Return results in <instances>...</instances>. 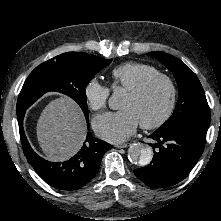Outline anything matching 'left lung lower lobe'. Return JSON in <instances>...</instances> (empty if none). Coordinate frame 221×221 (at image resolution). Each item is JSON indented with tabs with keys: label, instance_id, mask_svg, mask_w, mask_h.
Returning <instances> with one entry per match:
<instances>
[{
	"label": "left lung lower lobe",
	"instance_id": "left-lung-lower-lobe-1",
	"mask_svg": "<svg viewBox=\"0 0 221 221\" xmlns=\"http://www.w3.org/2000/svg\"><path fill=\"white\" fill-rule=\"evenodd\" d=\"M206 133L184 128L174 133L154 132L149 136L157 141L149 165L135 169V175L146 185L162 188L182 181L203 153ZM153 146V145H152Z\"/></svg>",
	"mask_w": 221,
	"mask_h": 221
}]
</instances>
